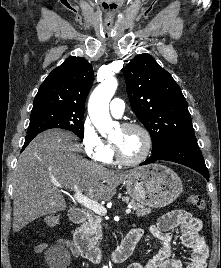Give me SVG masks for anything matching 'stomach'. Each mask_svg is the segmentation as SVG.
<instances>
[{
	"mask_svg": "<svg viewBox=\"0 0 221 268\" xmlns=\"http://www.w3.org/2000/svg\"><path fill=\"white\" fill-rule=\"evenodd\" d=\"M129 196L154 208H162L175 201L183 190L180 177L170 168L151 164L135 169L126 179Z\"/></svg>",
	"mask_w": 221,
	"mask_h": 268,
	"instance_id": "1",
	"label": "stomach"
}]
</instances>
